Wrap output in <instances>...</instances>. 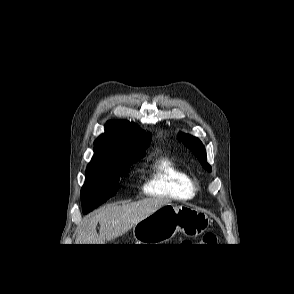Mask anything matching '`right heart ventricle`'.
<instances>
[{
	"label": "right heart ventricle",
	"mask_w": 294,
	"mask_h": 294,
	"mask_svg": "<svg viewBox=\"0 0 294 294\" xmlns=\"http://www.w3.org/2000/svg\"><path fill=\"white\" fill-rule=\"evenodd\" d=\"M141 192L155 197L190 196L191 177L173 158L162 156L151 165L141 185Z\"/></svg>",
	"instance_id": "e07e8e85"
}]
</instances>
